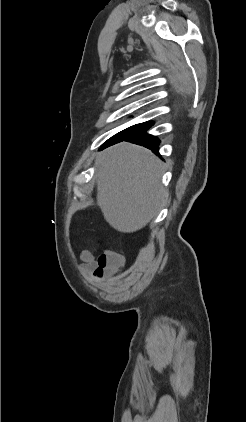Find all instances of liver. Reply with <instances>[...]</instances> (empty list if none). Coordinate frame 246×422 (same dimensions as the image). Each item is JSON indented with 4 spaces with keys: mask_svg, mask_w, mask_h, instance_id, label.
<instances>
[{
    "mask_svg": "<svg viewBox=\"0 0 246 422\" xmlns=\"http://www.w3.org/2000/svg\"><path fill=\"white\" fill-rule=\"evenodd\" d=\"M97 204L119 232L145 227L159 212L167 191L160 180L163 163L146 148L122 142L96 159Z\"/></svg>",
    "mask_w": 246,
    "mask_h": 422,
    "instance_id": "liver-1",
    "label": "liver"
}]
</instances>
